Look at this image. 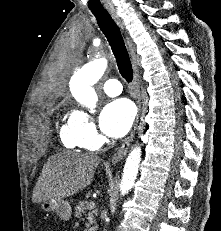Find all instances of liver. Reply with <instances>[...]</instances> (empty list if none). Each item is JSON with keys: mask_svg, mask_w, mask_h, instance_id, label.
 Masks as SVG:
<instances>
[{"mask_svg": "<svg viewBox=\"0 0 221 231\" xmlns=\"http://www.w3.org/2000/svg\"><path fill=\"white\" fill-rule=\"evenodd\" d=\"M100 158L93 154L58 152L44 165L32 195L33 203L63 199L91 184Z\"/></svg>", "mask_w": 221, "mask_h": 231, "instance_id": "1", "label": "liver"}]
</instances>
